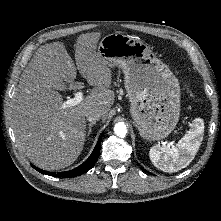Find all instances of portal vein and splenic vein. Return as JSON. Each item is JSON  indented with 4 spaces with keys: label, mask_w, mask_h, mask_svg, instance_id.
<instances>
[{
    "label": "portal vein and splenic vein",
    "mask_w": 221,
    "mask_h": 221,
    "mask_svg": "<svg viewBox=\"0 0 221 221\" xmlns=\"http://www.w3.org/2000/svg\"><path fill=\"white\" fill-rule=\"evenodd\" d=\"M82 100H83V92L79 91L75 94L74 98L69 99L64 102L63 108L75 106V105L79 104ZM170 144H172V143H170Z\"/></svg>",
    "instance_id": "18ae733b"
}]
</instances>
